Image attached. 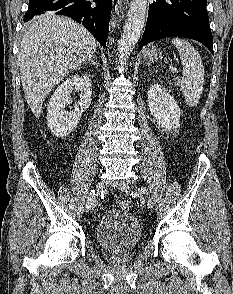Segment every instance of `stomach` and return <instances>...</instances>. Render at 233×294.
<instances>
[{
	"instance_id": "1",
	"label": "stomach",
	"mask_w": 233,
	"mask_h": 294,
	"mask_svg": "<svg viewBox=\"0 0 233 294\" xmlns=\"http://www.w3.org/2000/svg\"><path fill=\"white\" fill-rule=\"evenodd\" d=\"M160 52L155 46H148L143 51V56L146 60L153 61L156 60Z\"/></svg>"
}]
</instances>
